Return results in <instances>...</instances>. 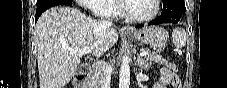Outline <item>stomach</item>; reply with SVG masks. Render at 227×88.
<instances>
[{
  "mask_svg": "<svg viewBox=\"0 0 227 88\" xmlns=\"http://www.w3.org/2000/svg\"><path fill=\"white\" fill-rule=\"evenodd\" d=\"M129 36L137 41L150 45L157 51H162L165 48L168 34L162 27L151 26L138 31L128 33Z\"/></svg>",
  "mask_w": 227,
  "mask_h": 88,
  "instance_id": "stomach-1",
  "label": "stomach"
}]
</instances>
